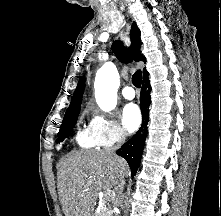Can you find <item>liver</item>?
<instances>
[{"label":"liver","mask_w":221,"mask_h":216,"mask_svg":"<svg viewBox=\"0 0 221 216\" xmlns=\"http://www.w3.org/2000/svg\"><path fill=\"white\" fill-rule=\"evenodd\" d=\"M58 194L65 216H93V204L101 189H116L129 174L127 162L105 151H79L58 166Z\"/></svg>","instance_id":"1"}]
</instances>
